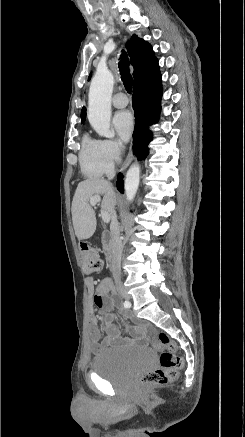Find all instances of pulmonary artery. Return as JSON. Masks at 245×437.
Here are the masks:
<instances>
[{
	"label": "pulmonary artery",
	"instance_id": "obj_1",
	"mask_svg": "<svg viewBox=\"0 0 245 437\" xmlns=\"http://www.w3.org/2000/svg\"><path fill=\"white\" fill-rule=\"evenodd\" d=\"M129 100L124 93H117L112 98V104L116 108H124L128 105Z\"/></svg>",
	"mask_w": 245,
	"mask_h": 437
}]
</instances>
